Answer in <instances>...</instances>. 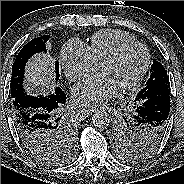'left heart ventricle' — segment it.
<instances>
[{
	"label": "left heart ventricle",
	"instance_id": "left-heart-ventricle-1",
	"mask_svg": "<svg viewBox=\"0 0 184 184\" xmlns=\"http://www.w3.org/2000/svg\"><path fill=\"white\" fill-rule=\"evenodd\" d=\"M144 60L143 51L133 47L126 50L117 60L98 66V71L110 76L121 88L139 74Z\"/></svg>",
	"mask_w": 184,
	"mask_h": 184
}]
</instances>
